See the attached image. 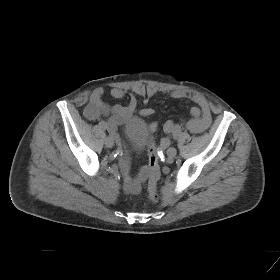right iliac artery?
<instances>
[{
	"label": "right iliac artery",
	"instance_id": "obj_1",
	"mask_svg": "<svg viewBox=\"0 0 280 280\" xmlns=\"http://www.w3.org/2000/svg\"><path fill=\"white\" fill-rule=\"evenodd\" d=\"M99 126H100V128L103 129V130H105V129L108 128V124H107L106 121H100V122H99Z\"/></svg>",
	"mask_w": 280,
	"mask_h": 280
}]
</instances>
